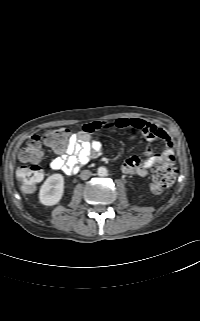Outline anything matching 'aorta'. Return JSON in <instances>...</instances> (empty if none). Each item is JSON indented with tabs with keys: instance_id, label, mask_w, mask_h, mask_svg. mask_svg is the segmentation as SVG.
<instances>
[{
	"instance_id": "obj_1",
	"label": "aorta",
	"mask_w": 200,
	"mask_h": 321,
	"mask_svg": "<svg viewBox=\"0 0 200 321\" xmlns=\"http://www.w3.org/2000/svg\"><path fill=\"white\" fill-rule=\"evenodd\" d=\"M107 169L105 167H99L98 170H97V174L98 176L100 177H104L107 175Z\"/></svg>"
}]
</instances>
